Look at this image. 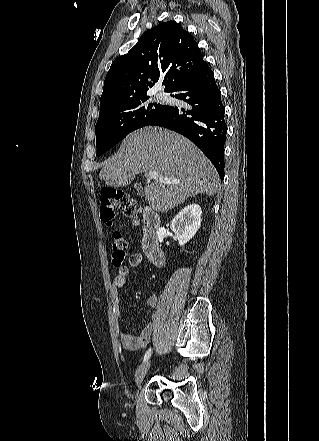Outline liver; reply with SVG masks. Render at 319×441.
<instances>
[{
    "instance_id": "1",
    "label": "liver",
    "mask_w": 319,
    "mask_h": 441,
    "mask_svg": "<svg viewBox=\"0 0 319 441\" xmlns=\"http://www.w3.org/2000/svg\"><path fill=\"white\" fill-rule=\"evenodd\" d=\"M157 171L159 179L145 187L146 201L158 212L172 209L199 193L213 196L220 178L210 160L182 135L160 127H144L130 133L117 153L99 173L101 180L114 187L129 185L138 173Z\"/></svg>"
}]
</instances>
